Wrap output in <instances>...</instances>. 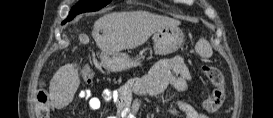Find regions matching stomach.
Returning <instances> with one entry per match:
<instances>
[{"label": "stomach", "mask_w": 273, "mask_h": 118, "mask_svg": "<svg viewBox=\"0 0 273 118\" xmlns=\"http://www.w3.org/2000/svg\"><path fill=\"white\" fill-rule=\"evenodd\" d=\"M154 52L157 55H168L177 51L184 41V34L178 26H166L154 32ZM103 67L111 72H119L137 66V60L126 53L102 52L100 55Z\"/></svg>", "instance_id": "obj_1"}]
</instances>
